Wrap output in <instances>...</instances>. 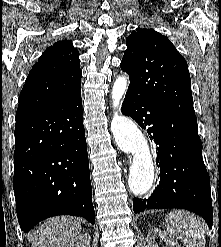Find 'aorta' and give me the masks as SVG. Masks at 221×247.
Here are the masks:
<instances>
[{
  "label": "aorta",
  "mask_w": 221,
  "mask_h": 247,
  "mask_svg": "<svg viewBox=\"0 0 221 247\" xmlns=\"http://www.w3.org/2000/svg\"><path fill=\"white\" fill-rule=\"evenodd\" d=\"M127 87L126 77L119 76L112 90L113 107L116 111L111 122V130L118 147L132 155L129 189L135 195H143L152 187L154 164L145 135L132 120L120 115L121 101Z\"/></svg>",
  "instance_id": "762f6f07"
}]
</instances>
